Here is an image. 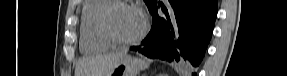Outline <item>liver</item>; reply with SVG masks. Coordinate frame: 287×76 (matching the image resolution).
Masks as SVG:
<instances>
[{"label":"liver","instance_id":"obj_1","mask_svg":"<svg viewBox=\"0 0 287 76\" xmlns=\"http://www.w3.org/2000/svg\"><path fill=\"white\" fill-rule=\"evenodd\" d=\"M125 52L98 55L81 59L75 70V76H107Z\"/></svg>","mask_w":287,"mask_h":76}]
</instances>
